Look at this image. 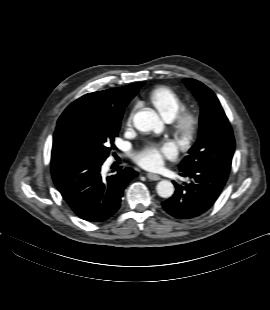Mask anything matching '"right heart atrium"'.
Masks as SVG:
<instances>
[{"label": "right heart atrium", "instance_id": "right-heart-atrium-1", "mask_svg": "<svg viewBox=\"0 0 270 310\" xmlns=\"http://www.w3.org/2000/svg\"><path fill=\"white\" fill-rule=\"evenodd\" d=\"M132 114H133V113H131L130 116H129V118H128V124H131Z\"/></svg>", "mask_w": 270, "mask_h": 310}]
</instances>
